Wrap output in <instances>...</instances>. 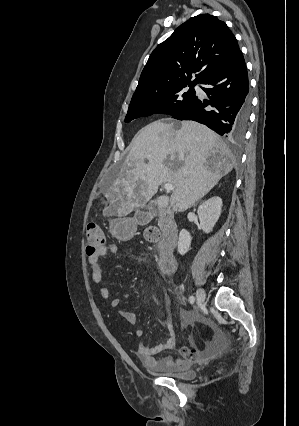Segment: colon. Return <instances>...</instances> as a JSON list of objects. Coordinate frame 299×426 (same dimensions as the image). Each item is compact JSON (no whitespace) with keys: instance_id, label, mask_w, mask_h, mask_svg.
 I'll list each match as a JSON object with an SVG mask.
<instances>
[{"instance_id":"obj_1","label":"colon","mask_w":299,"mask_h":426,"mask_svg":"<svg viewBox=\"0 0 299 426\" xmlns=\"http://www.w3.org/2000/svg\"><path fill=\"white\" fill-rule=\"evenodd\" d=\"M145 238L156 241L159 238L158 231L151 227L145 231ZM105 245V236L102 229L95 224H90L86 229V253L88 256L94 254L100 247Z\"/></svg>"}]
</instances>
